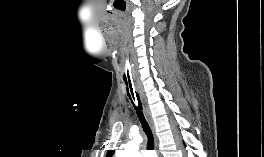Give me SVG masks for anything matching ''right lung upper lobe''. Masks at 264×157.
Returning a JSON list of instances; mask_svg holds the SVG:
<instances>
[{
    "label": "right lung upper lobe",
    "mask_w": 264,
    "mask_h": 157,
    "mask_svg": "<svg viewBox=\"0 0 264 157\" xmlns=\"http://www.w3.org/2000/svg\"><path fill=\"white\" fill-rule=\"evenodd\" d=\"M113 153H114L113 150H109L106 157H112Z\"/></svg>",
    "instance_id": "right-lung-upper-lobe-1"
}]
</instances>
